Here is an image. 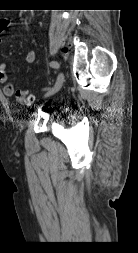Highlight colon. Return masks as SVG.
Here are the masks:
<instances>
[{
  "label": "colon",
  "mask_w": 138,
  "mask_h": 253,
  "mask_svg": "<svg viewBox=\"0 0 138 253\" xmlns=\"http://www.w3.org/2000/svg\"><path fill=\"white\" fill-rule=\"evenodd\" d=\"M15 98L17 102L24 105H31L34 101V98L32 95H30L26 90L24 89H17L15 91Z\"/></svg>",
  "instance_id": "colon-1"
}]
</instances>
